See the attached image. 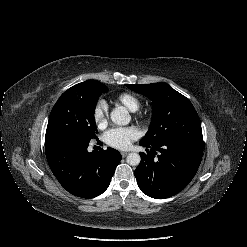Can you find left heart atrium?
Segmentation results:
<instances>
[{"instance_id": "left-heart-atrium-1", "label": "left heart atrium", "mask_w": 247, "mask_h": 247, "mask_svg": "<svg viewBox=\"0 0 247 247\" xmlns=\"http://www.w3.org/2000/svg\"><path fill=\"white\" fill-rule=\"evenodd\" d=\"M138 137V132L133 127H116L105 133L108 145L117 149H126Z\"/></svg>"}]
</instances>
